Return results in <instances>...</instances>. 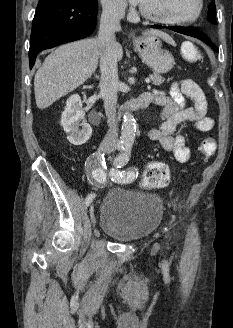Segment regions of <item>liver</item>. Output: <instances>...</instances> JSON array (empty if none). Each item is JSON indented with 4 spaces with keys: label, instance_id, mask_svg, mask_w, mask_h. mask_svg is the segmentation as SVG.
Instances as JSON below:
<instances>
[{
    "label": "liver",
    "instance_id": "1",
    "mask_svg": "<svg viewBox=\"0 0 233 328\" xmlns=\"http://www.w3.org/2000/svg\"><path fill=\"white\" fill-rule=\"evenodd\" d=\"M145 35H155L173 43L172 38L158 30ZM102 45L98 38H89L58 47L46 57L34 78L36 105L39 109L49 107L62 96L87 81L98 66ZM113 52L117 60L123 57L120 43L115 42Z\"/></svg>",
    "mask_w": 233,
    "mask_h": 328
}]
</instances>
